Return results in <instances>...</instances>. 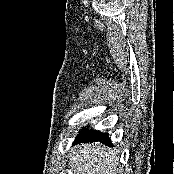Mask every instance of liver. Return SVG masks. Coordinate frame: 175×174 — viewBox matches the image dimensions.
<instances>
[{
  "mask_svg": "<svg viewBox=\"0 0 175 174\" xmlns=\"http://www.w3.org/2000/svg\"><path fill=\"white\" fill-rule=\"evenodd\" d=\"M70 156L76 174H122L118 168V151L102 143L80 144Z\"/></svg>",
  "mask_w": 175,
  "mask_h": 174,
  "instance_id": "obj_1",
  "label": "liver"
}]
</instances>
